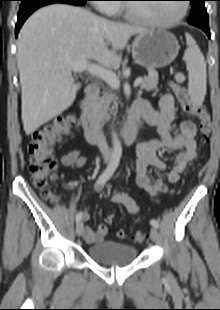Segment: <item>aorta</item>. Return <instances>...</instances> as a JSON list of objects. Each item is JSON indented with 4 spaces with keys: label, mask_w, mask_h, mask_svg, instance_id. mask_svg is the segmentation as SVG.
Segmentation results:
<instances>
[{
    "label": "aorta",
    "mask_w": 220,
    "mask_h": 310,
    "mask_svg": "<svg viewBox=\"0 0 220 310\" xmlns=\"http://www.w3.org/2000/svg\"><path fill=\"white\" fill-rule=\"evenodd\" d=\"M112 142H113V146L115 149L121 150L120 141L118 139L116 132H114V131L112 132Z\"/></svg>",
    "instance_id": "aorta-1"
}]
</instances>
